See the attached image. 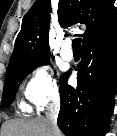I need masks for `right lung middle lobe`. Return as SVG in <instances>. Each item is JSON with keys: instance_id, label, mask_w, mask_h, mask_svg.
<instances>
[{"instance_id": "obj_1", "label": "right lung middle lobe", "mask_w": 117, "mask_h": 136, "mask_svg": "<svg viewBox=\"0 0 117 136\" xmlns=\"http://www.w3.org/2000/svg\"><path fill=\"white\" fill-rule=\"evenodd\" d=\"M48 63L49 57H43L26 59L9 65L6 71L1 106L6 107L11 105L17 92V88L23 79L35 68Z\"/></svg>"}]
</instances>
